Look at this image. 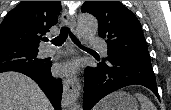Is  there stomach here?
<instances>
[{
	"instance_id": "obj_1",
	"label": "stomach",
	"mask_w": 171,
	"mask_h": 110,
	"mask_svg": "<svg viewBox=\"0 0 171 110\" xmlns=\"http://www.w3.org/2000/svg\"><path fill=\"white\" fill-rule=\"evenodd\" d=\"M103 106L100 110H138L136 99L126 92H116L103 101Z\"/></svg>"
}]
</instances>
